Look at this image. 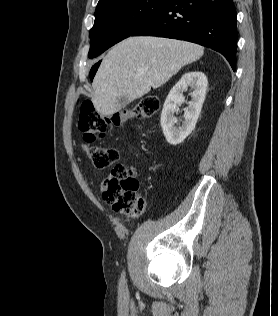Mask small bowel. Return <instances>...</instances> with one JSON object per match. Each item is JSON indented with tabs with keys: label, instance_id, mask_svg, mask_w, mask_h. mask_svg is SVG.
<instances>
[{
	"label": "small bowel",
	"instance_id": "1",
	"mask_svg": "<svg viewBox=\"0 0 278 316\" xmlns=\"http://www.w3.org/2000/svg\"><path fill=\"white\" fill-rule=\"evenodd\" d=\"M129 149L135 157H139V154L133 148L130 147Z\"/></svg>",
	"mask_w": 278,
	"mask_h": 316
}]
</instances>
